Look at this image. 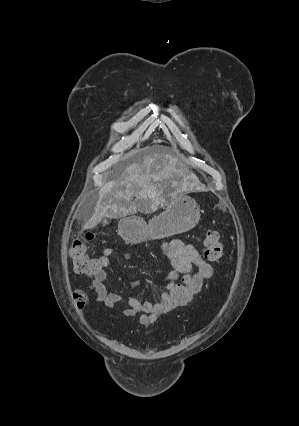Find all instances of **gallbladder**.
Returning a JSON list of instances; mask_svg holds the SVG:
<instances>
[{"instance_id": "gallbladder-1", "label": "gallbladder", "mask_w": 299, "mask_h": 426, "mask_svg": "<svg viewBox=\"0 0 299 426\" xmlns=\"http://www.w3.org/2000/svg\"><path fill=\"white\" fill-rule=\"evenodd\" d=\"M103 224H108V222L107 221H104V223Z\"/></svg>"}]
</instances>
